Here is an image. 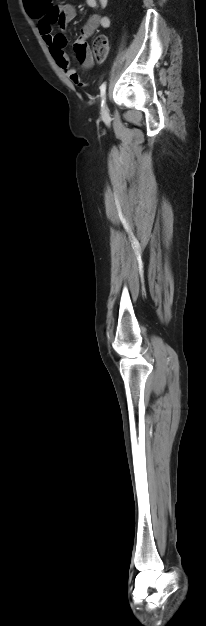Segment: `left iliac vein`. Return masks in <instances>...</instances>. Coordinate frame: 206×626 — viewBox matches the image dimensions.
Returning <instances> with one entry per match:
<instances>
[{
    "mask_svg": "<svg viewBox=\"0 0 206 626\" xmlns=\"http://www.w3.org/2000/svg\"><path fill=\"white\" fill-rule=\"evenodd\" d=\"M101 114L104 117L108 115V108H107V105H106V102H105V98L103 100Z\"/></svg>",
    "mask_w": 206,
    "mask_h": 626,
    "instance_id": "left-iliac-vein-1",
    "label": "left iliac vein"
}]
</instances>
